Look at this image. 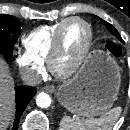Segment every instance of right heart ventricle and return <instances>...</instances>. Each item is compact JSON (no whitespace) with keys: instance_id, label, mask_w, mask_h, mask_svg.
<instances>
[{"instance_id":"e07e8e85","label":"right heart ventricle","mask_w":130,"mask_h":130,"mask_svg":"<svg viewBox=\"0 0 130 130\" xmlns=\"http://www.w3.org/2000/svg\"><path fill=\"white\" fill-rule=\"evenodd\" d=\"M67 19L54 24L40 26L22 38V43L32 57L45 62L48 60L56 33Z\"/></svg>"}]
</instances>
